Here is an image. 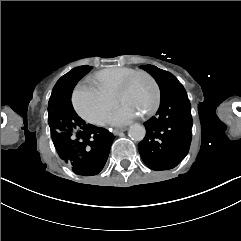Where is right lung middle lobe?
<instances>
[{"instance_id": "obj_1", "label": "right lung middle lobe", "mask_w": 241, "mask_h": 241, "mask_svg": "<svg viewBox=\"0 0 241 241\" xmlns=\"http://www.w3.org/2000/svg\"><path fill=\"white\" fill-rule=\"evenodd\" d=\"M73 70L62 76L54 86L48 102V123L51 130L53 143L63 136L65 131L62 125V112L64 110H74L71 103V94L67 88V80Z\"/></svg>"}]
</instances>
